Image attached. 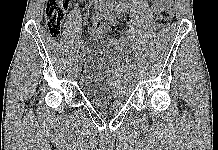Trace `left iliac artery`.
I'll return each instance as SVG.
<instances>
[{
  "mask_svg": "<svg viewBox=\"0 0 218 150\" xmlns=\"http://www.w3.org/2000/svg\"><path fill=\"white\" fill-rule=\"evenodd\" d=\"M105 15H106V17H108V18H111V17L113 16V15L111 14V4H110V2H108L107 5H106ZM135 69H136L135 66L132 64V65L128 68V71H129V72H132V71H134Z\"/></svg>",
  "mask_w": 218,
  "mask_h": 150,
  "instance_id": "obj_1",
  "label": "left iliac artery"
}]
</instances>
